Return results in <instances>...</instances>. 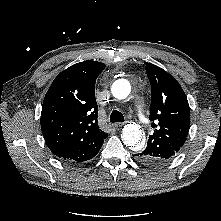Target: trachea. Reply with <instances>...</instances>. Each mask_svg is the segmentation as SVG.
I'll return each instance as SVG.
<instances>
[{
  "mask_svg": "<svg viewBox=\"0 0 221 221\" xmlns=\"http://www.w3.org/2000/svg\"><path fill=\"white\" fill-rule=\"evenodd\" d=\"M110 122L115 123V122H124V116L121 112L118 110L112 111L110 115Z\"/></svg>",
  "mask_w": 221,
  "mask_h": 221,
  "instance_id": "obj_1",
  "label": "trachea"
}]
</instances>
